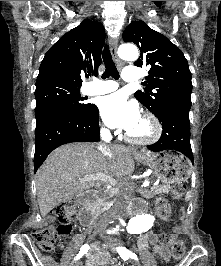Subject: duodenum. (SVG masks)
<instances>
[{
  "label": "duodenum",
  "instance_id": "410a0bca",
  "mask_svg": "<svg viewBox=\"0 0 221 266\" xmlns=\"http://www.w3.org/2000/svg\"><path fill=\"white\" fill-rule=\"evenodd\" d=\"M95 198L96 193L93 192L83 193L78 196V202L81 205L79 220L83 226H90L93 223L95 208L92 206V203L94 202ZM142 209L143 206L140 203H132L128 207V214L135 215Z\"/></svg>",
  "mask_w": 221,
  "mask_h": 266
}]
</instances>
